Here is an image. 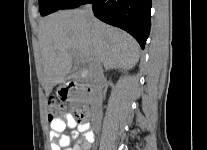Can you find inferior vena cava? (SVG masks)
I'll use <instances>...</instances> for the list:
<instances>
[{
	"instance_id": "1",
	"label": "inferior vena cava",
	"mask_w": 207,
	"mask_h": 150,
	"mask_svg": "<svg viewBox=\"0 0 207 150\" xmlns=\"http://www.w3.org/2000/svg\"><path fill=\"white\" fill-rule=\"evenodd\" d=\"M84 14L88 21H93L94 15L92 11V5L86 4L84 6ZM91 70V78L93 82V89L96 98L100 101L102 96V89L106 82V79L103 74V69L100 61L98 59H94L90 64Z\"/></svg>"
}]
</instances>
